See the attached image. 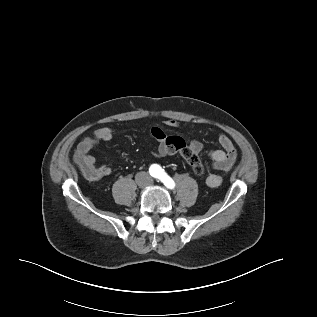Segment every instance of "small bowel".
I'll return each mask as SVG.
<instances>
[{"label":"small bowel","instance_id":"obj_1","mask_svg":"<svg viewBox=\"0 0 317 317\" xmlns=\"http://www.w3.org/2000/svg\"><path fill=\"white\" fill-rule=\"evenodd\" d=\"M167 127L177 128L181 123L175 119L164 120ZM151 135L159 141L157 147V156L164 157L177 153V149L188 148L195 154H199L203 145L198 139H193L186 143L180 136H166L163 129L155 126L151 129ZM115 136V132L110 127L97 128L90 136L84 138L78 145L75 153V159L79 164H87L93 168L94 176L91 179L99 180L111 174V168L106 165H97L95 157L91 154L92 150L101 142L111 141ZM221 149L213 150L209 153L212 166L215 170L226 173L228 172L236 160V148L231 139L221 134L218 138ZM205 183L210 188L218 187L222 183L221 175L217 173H209L205 179Z\"/></svg>","mask_w":317,"mask_h":317}]
</instances>
